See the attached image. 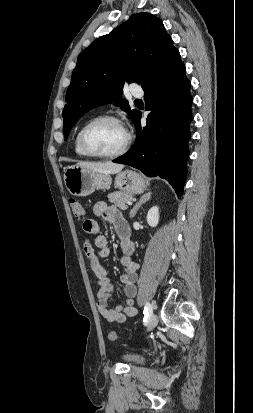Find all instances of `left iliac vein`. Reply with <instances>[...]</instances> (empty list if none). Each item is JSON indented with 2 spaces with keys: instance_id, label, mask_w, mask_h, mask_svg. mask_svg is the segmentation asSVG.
Instances as JSON below:
<instances>
[{
  "instance_id": "left-iliac-vein-1",
  "label": "left iliac vein",
  "mask_w": 253,
  "mask_h": 413,
  "mask_svg": "<svg viewBox=\"0 0 253 413\" xmlns=\"http://www.w3.org/2000/svg\"><path fill=\"white\" fill-rule=\"evenodd\" d=\"M158 323V316L156 314H152L147 326V331H151Z\"/></svg>"
}]
</instances>
